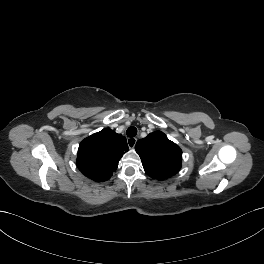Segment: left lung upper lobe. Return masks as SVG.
<instances>
[{"instance_id": "1", "label": "left lung upper lobe", "mask_w": 264, "mask_h": 264, "mask_svg": "<svg viewBox=\"0 0 264 264\" xmlns=\"http://www.w3.org/2000/svg\"><path fill=\"white\" fill-rule=\"evenodd\" d=\"M135 149L145 172L152 178L166 179L181 168V149L161 131H155L138 140Z\"/></svg>"}]
</instances>
